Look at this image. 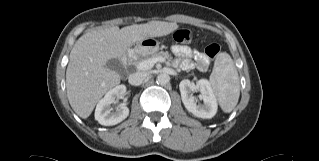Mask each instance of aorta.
<instances>
[{
	"mask_svg": "<svg viewBox=\"0 0 319 161\" xmlns=\"http://www.w3.org/2000/svg\"><path fill=\"white\" fill-rule=\"evenodd\" d=\"M157 83L160 85H166L170 81V76L166 73H160L156 79Z\"/></svg>",
	"mask_w": 319,
	"mask_h": 161,
	"instance_id": "762f6f07",
	"label": "aorta"
}]
</instances>
